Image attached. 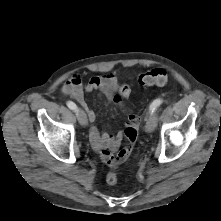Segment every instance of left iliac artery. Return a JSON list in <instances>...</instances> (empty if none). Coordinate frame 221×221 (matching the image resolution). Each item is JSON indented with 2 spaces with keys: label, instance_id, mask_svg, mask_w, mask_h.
Returning a JSON list of instances; mask_svg holds the SVG:
<instances>
[{
  "label": "left iliac artery",
  "instance_id": "obj_1",
  "mask_svg": "<svg viewBox=\"0 0 221 221\" xmlns=\"http://www.w3.org/2000/svg\"><path fill=\"white\" fill-rule=\"evenodd\" d=\"M163 103L162 99H156L152 102L150 106V111L153 113L155 110Z\"/></svg>",
  "mask_w": 221,
  "mask_h": 221
}]
</instances>
